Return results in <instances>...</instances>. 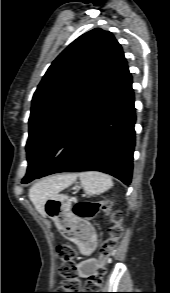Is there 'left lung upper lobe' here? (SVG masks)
I'll use <instances>...</instances> for the list:
<instances>
[{
	"mask_svg": "<svg viewBox=\"0 0 170 293\" xmlns=\"http://www.w3.org/2000/svg\"><path fill=\"white\" fill-rule=\"evenodd\" d=\"M126 67L120 44L100 28L81 35L53 61L32 99L23 180L54 160Z\"/></svg>",
	"mask_w": 170,
	"mask_h": 293,
	"instance_id": "left-lung-upper-lobe-1",
	"label": "left lung upper lobe"
}]
</instances>
